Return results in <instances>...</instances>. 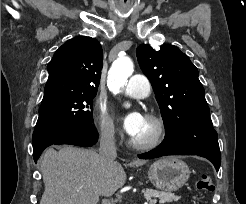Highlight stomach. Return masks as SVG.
I'll return each mask as SVG.
<instances>
[{"label": "stomach", "instance_id": "obj_1", "mask_svg": "<svg viewBox=\"0 0 246 204\" xmlns=\"http://www.w3.org/2000/svg\"><path fill=\"white\" fill-rule=\"evenodd\" d=\"M187 164L176 157H164L155 161L148 170V178L158 189L172 192L181 188L188 180Z\"/></svg>", "mask_w": 246, "mask_h": 204}]
</instances>
